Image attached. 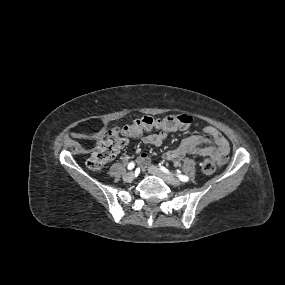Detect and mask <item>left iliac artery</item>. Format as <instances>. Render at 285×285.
<instances>
[{"label": "left iliac artery", "mask_w": 285, "mask_h": 285, "mask_svg": "<svg viewBox=\"0 0 285 285\" xmlns=\"http://www.w3.org/2000/svg\"><path fill=\"white\" fill-rule=\"evenodd\" d=\"M159 165H161V164H159ZM161 170H163V171H168V170H166L163 166H161ZM177 177H178L179 180L182 181V182H187V180H188V177L185 176V175L177 174Z\"/></svg>", "instance_id": "left-iliac-artery-1"}]
</instances>
